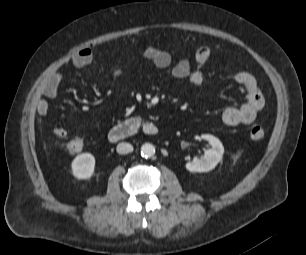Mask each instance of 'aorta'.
<instances>
[{"label":"aorta","instance_id":"obj_1","mask_svg":"<svg viewBox=\"0 0 306 255\" xmlns=\"http://www.w3.org/2000/svg\"><path fill=\"white\" fill-rule=\"evenodd\" d=\"M155 154V147L150 143H145L141 146V155L145 158H151Z\"/></svg>","mask_w":306,"mask_h":255}]
</instances>
